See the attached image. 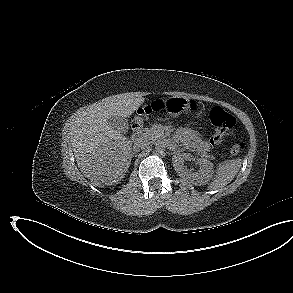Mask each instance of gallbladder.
<instances>
[{"mask_svg": "<svg viewBox=\"0 0 293 293\" xmlns=\"http://www.w3.org/2000/svg\"><path fill=\"white\" fill-rule=\"evenodd\" d=\"M108 124L116 131L126 134L129 130V124L126 118L121 116H114L108 119Z\"/></svg>", "mask_w": 293, "mask_h": 293, "instance_id": "obj_1", "label": "gallbladder"}]
</instances>
